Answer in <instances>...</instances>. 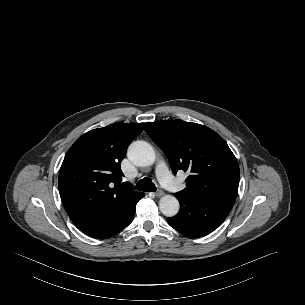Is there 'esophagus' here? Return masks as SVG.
<instances>
[{
  "instance_id": "34e87169",
  "label": "esophagus",
  "mask_w": 305,
  "mask_h": 305,
  "mask_svg": "<svg viewBox=\"0 0 305 305\" xmlns=\"http://www.w3.org/2000/svg\"><path fill=\"white\" fill-rule=\"evenodd\" d=\"M163 195H164V192L162 190H158V191L155 192L156 197H161Z\"/></svg>"
}]
</instances>
